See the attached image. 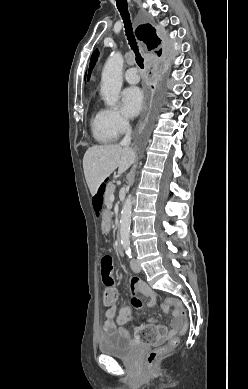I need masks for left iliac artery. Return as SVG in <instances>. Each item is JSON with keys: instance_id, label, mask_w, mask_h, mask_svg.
Returning <instances> with one entry per match:
<instances>
[{"instance_id": "44dca946", "label": "left iliac artery", "mask_w": 248, "mask_h": 389, "mask_svg": "<svg viewBox=\"0 0 248 389\" xmlns=\"http://www.w3.org/2000/svg\"><path fill=\"white\" fill-rule=\"evenodd\" d=\"M126 254L128 255L129 258H132V253L130 247H126Z\"/></svg>"}]
</instances>
